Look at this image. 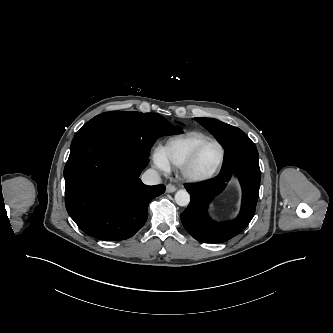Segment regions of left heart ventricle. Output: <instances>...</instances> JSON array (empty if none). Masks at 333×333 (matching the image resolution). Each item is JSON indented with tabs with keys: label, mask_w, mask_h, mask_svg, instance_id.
I'll use <instances>...</instances> for the list:
<instances>
[{
	"label": "left heart ventricle",
	"mask_w": 333,
	"mask_h": 333,
	"mask_svg": "<svg viewBox=\"0 0 333 333\" xmlns=\"http://www.w3.org/2000/svg\"><path fill=\"white\" fill-rule=\"evenodd\" d=\"M219 157V147L214 143L207 144L202 148L198 155L194 166L195 172L198 174L207 173L215 166Z\"/></svg>",
	"instance_id": "b2bd125f"
}]
</instances>
